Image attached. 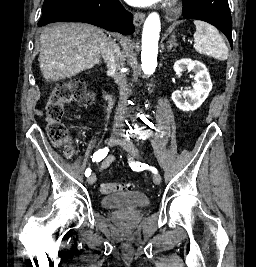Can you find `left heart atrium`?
<instances>
[{"mask_svg":"<svg viewBox=\"0 0 256 267\" xmlns=\"http://www.w3.org/2000/svg\"><path fill=\"white\" fill-rule=\"evenodd\" d=\"M147 1H150V2H158V1H160V2H162L164 0H147Z\"/></svg>","mask_w":256,"mask_h":267,"instance_id":"39dd6f15","label":"left heart atrium"}]
</instances>
